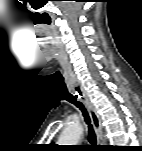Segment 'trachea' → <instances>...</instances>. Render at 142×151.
Instances as JSON below:
<instances>
[{"label":"trachea","instance_id":"3493384b","mask_svg":"<svg viewBox=\"0 0 142 151\" xmlns=\"http://www.w3.org/2000/svg\"><path fill=\"white\" fill-rule=\"evenodd\" d=\"M77 97H78V95L73 96L70 93H66L65 95H63L64 100H67L68 102L75 105L77 108H79L81 110L83 117H84V120L88 126L89 142L91 144L95 145L96 144V135H95V132L93 130V126L91 124L90 117H89L85 107L83 106V104L77 100Z\"/></svg>","mask_w":142,"mask_h":151}]
</instances>
